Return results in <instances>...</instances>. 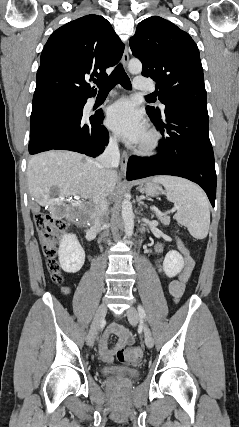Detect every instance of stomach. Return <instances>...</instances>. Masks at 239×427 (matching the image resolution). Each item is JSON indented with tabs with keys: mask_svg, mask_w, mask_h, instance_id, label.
Returning a JSON list of instances; mask_svg holds the SVG:
<instances>
[{
	"mask_svg": "<svg viewBox=\"0 0 239 427\" xmlns=\"http://www.w3.org/2000/svg\"><path fill=\"white\" fill-rule=\"evenodd\" d=\"M138 189L141 193H145L147 196H158L162 193V188L157 183L150 180L140 182Z\"/></svg>",
	"mask_w": 239,
	"mask_h": 427,
	"instance_id": "0dacf381",
	"label": "stomach"
}]
</instances>
